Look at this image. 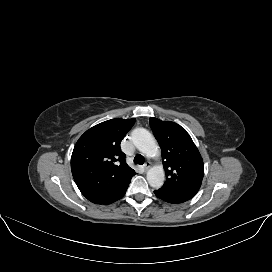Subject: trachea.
<instances>
[{"label":"trachea","mask_w":272,"mask_h":272,"mask_svg":"<svg viewBox=\"0 0 272 272\" xmlns=\"http://www.w3.org/2000/svg\"><path fill=\"white\" fill-rule=\"evenodd\" d=\"M134 162L138 165H142L145 162V159L142 155L138 154L134 157Z\"/></svg>","instance_id":"obj_1"}]
</instances>
